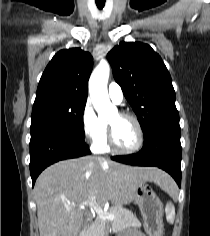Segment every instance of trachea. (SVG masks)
<instances>
[{"label": "trachea", "mask_w": 210, "mask_h": 236, "mask_svg": "<svg viewBox=\"0 0 210 236\" xmlns=\"http://www.w3.org/2000/svg\"><path fill=\"white\" fill-rule=\"evenodd\" d=\"M96 5L99 10H102L105 5V0H96Z\"/></svg>", "instance_id": "3493384b"}]
</instances>
